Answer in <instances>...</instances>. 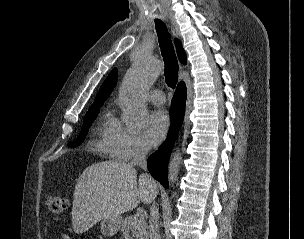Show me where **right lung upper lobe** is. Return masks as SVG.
I'll return each mask as SVG.
<instances>
[{
  "instance_id": "obj_1",
  "label": "right lung upper lobe",
  "mask_w": 304,
  "mask_h": 239,
  "mask_svg": "<svg viewBox=\"0 0 304 239\" xmlns=\"http://www.w3.org/2000/svg\"><path fill=\"white\" fill-rule=\"evenodd\" d=\"M176 44V49H177V54L179 57V60L181 63L186 64V54L185 51L183 50L181 43L179 40L175 41ZM117 82V69L114 68L104 83L102 84L101 88L99 89V92L94 100V103L90 108H96V107H101L102 104L106 101V99L109 97L111 92L113 91L115 85Z\"/></svg>"
}]
</instances>
